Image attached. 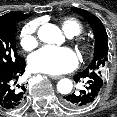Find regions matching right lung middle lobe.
Here are the masks:
<instances>
[{
  "mask_svg": "<svg viewBox=\"0 0 117 117\" xmlns=\"http://www.w3.org/2000/svg\"><path fill=\"white\" fill-rule=\"evenodd\" d=\"M25 18H14L0 23V65L11 66L23 58L17 54L15 31L16 24Z\"/></svg>",
  "mask_w": 117,
  "mask_h": 117,
  "instance_id": "1",
  "label": "right lung middle lobe"
}]
</instances>
